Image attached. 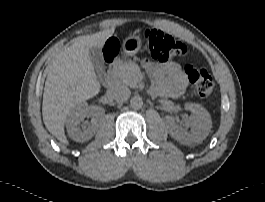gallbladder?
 <instances>
[{"instance_id": "1", "label": "gallbladder", "mask_w": 265, "mask_h": 202, "mask_svg": "<svg viewBox=\"0 0 265 202\" xmlns=\"http://www.w3.org/2000/svg\"><path fill=\"white\" fill-rule=\"evenodd\" d=\"M90 61L93 64V67L99 75H103L105 71L103 54L99 47H91L88 52Z\"/></svg>"}]
</instances>
